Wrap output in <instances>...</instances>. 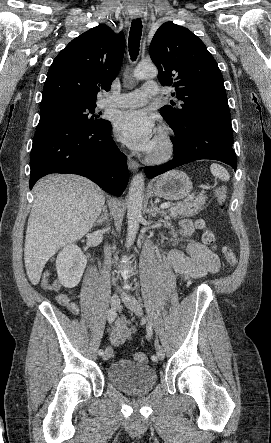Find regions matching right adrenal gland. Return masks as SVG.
Returning a JSON list of instances; mask_svg holds the SVG:
<instances>
[{"instance_id": "obj_1", "label": "right adrenal gland", "mask_w": 271, "mask_h": 443, "mask_svg": "<svg viewBox=\"0 0 271 443\" xmlns=\"http://www.w3.org/2000/svg\"><path fill=\"white\" fill-rule=\"evenodd\" d=\"M103 212H104V214H102V216H100L99 220H97V222L93 223V225H103V223L107 222L108 214H107L106 206H105Z\"/></svg>"}]
</instances>
